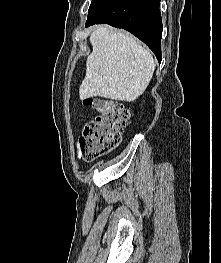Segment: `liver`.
I'll return each instance as SVG.
<instances>
[{
    "label": "liver",
    "mask_w": 221,
    "mask_h": 263,
    "mask_svg": "<svg viewBox=\"0 0 221 263\" xmlns=\"http://www.w3.org/2000/svg\"><path fill=\"white\" fill-rule=\"evenodd\" d=\"M93 47L79 88L81 100L90 97L132 102L149 85L155 62L150 51L123 31L97 27L90 35Z\"/></svg>",
    "instance_id": "obj_1"
}]
</instances>
